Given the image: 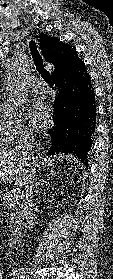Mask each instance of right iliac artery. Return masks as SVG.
I'll return each instance as SVG.
<instances>
[{
	"label": "right iliac artery",
	"mask_w": 113,
	"mask_h": 279,
	"mask_svg": "<svg viewBox=\"0 0 113 279\" xmlns=\"http://www.w3.org/2000/svg\"><path fill=\"white\" fill-rule=\"evenodd\" d=\"M11 275L13 276L12 279H24L25 278L23 268L13 270Z\"/></svg>",
	"instance_id": "82829eb1"
}]
</instances>
